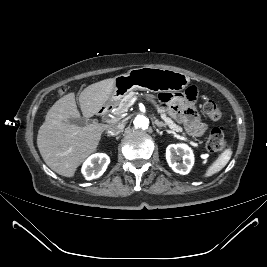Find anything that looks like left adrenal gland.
Wrapping results in <instances>:
<instances>
[{"label": "left adrenal gland", "instance_id": "1", "mask_svg": "<svg viewBox=\"0 0 267 267\" xmlns=\"http://www.w3.org/2000/svg\"><path fill=\"white\" fill-rule=\"evenodd\" d=\"M155 124L157 125L158 128H161V127L166 128V124H164L163 122H160L158 120H155Z\"/></svg>", "mask_w": 267, "mask_h": 267}]
</instances>
